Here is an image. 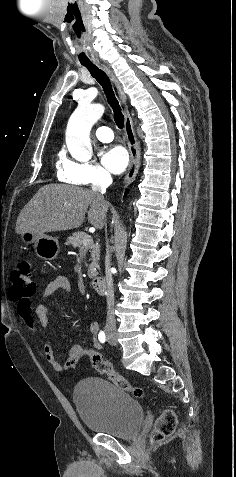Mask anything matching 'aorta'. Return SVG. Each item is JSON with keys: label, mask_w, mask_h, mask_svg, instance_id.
Wrapping results in <instances>:
<instances>
[{"label": "aorta", "mask_w": 236, "mask_h": 477, "mask_svg": "<svg viewBox=\"0 0 236 477\" xmlns=\"http://www.w3.org/2000/svg\"><path fill=\"white\" fill-rule=\"evenodd\" d=\"M103 113L104 106L101 104H81L71 115L66 130V143L74 157L84 161L92 157L90 130Z\"/></svg>", "instance_id": "1"}]
</instances>
